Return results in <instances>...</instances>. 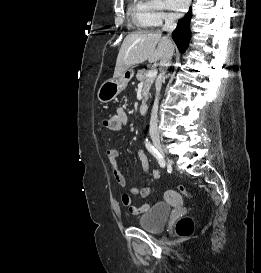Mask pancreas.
<instances>
[{
	"label": "pancreas",
	"instance_id": "pancreas-1",
	"mask_svg": "<svg viewBox=\"0 0 261 273\" xmlns=\"http://www.w3.org/2000/svg\"><path fill=\"white\" fill-rule=\"evenodd\" d=\"M147 70L141 69L137 71L136 78L138 81H142L144 83L143 90H142V96H143V102L147 101L148 93L151 88L152 83L155 80V77H147Z\"/></svg>",
	"mask_w": 261,
	"mask_h": 273
}]
</instances>
